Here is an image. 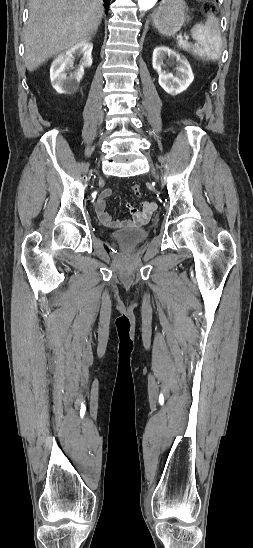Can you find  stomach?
<instances>
[{
    "label": "stomach",
    "instance_id": "1",
    "mask_svg": "<svg viewBox=\"0 0 253 548\" xmlns=\"http://www.w3.org/2000/svg\"><path fill=\"white\" fill-rule=\"evenodd\" d=\"M184 0H163L152 17L154 27L165 36L176 34L188 18Z\"/></svg>",
    "mask_w": 253,
    "mask_h": 548
}]
</instances>
